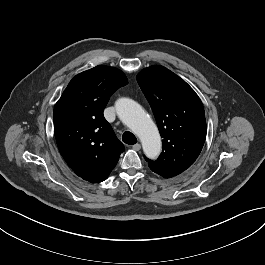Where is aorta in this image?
<instances>
[{"label": "aorta", "mask_w": 265, "mask_h": 265, "mask_svg": "<svg viewBox=\"0 0 265 265\" xmlns=\"http://www.w3.org/2000/svg\"><path fill=\"white\" fill-rule=\"evenodd\" d=\"M115 107L122 122L140 138L145 155L156 158L161 151V138L149 115L137 102L129 98L118 99Z\"/></svg>", "instance_id": "aorta-1"}]
</instances>
